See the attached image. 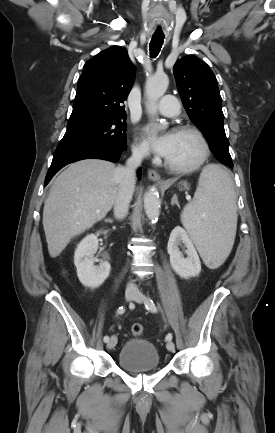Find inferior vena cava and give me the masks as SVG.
I'll use <instances>...</instances> for the list:
<instances>
[{"instance_id":"1","label":"inferior vena cava","mask_w":275,"mask_h":433,"mask_svg":"<svg viewBox=\"0 0 275 433\" xmlns=\"http://www.w3.org/2000/svg\"><path fill=\"white\" fill-rule=\"evenodd\" d=\"M144 154L143 150H132V156L127 160L126 166L116 170L120 178V189L114 203V215L119 220L128 214L129 203L135 188L136 170L140 167ZM126 290L134 292L137 287L135 284L129 283Z\"/></svg>"}]
</instances>
